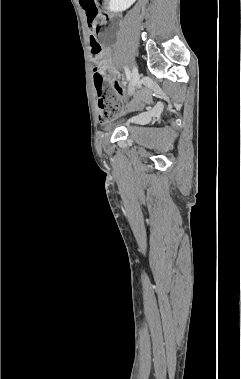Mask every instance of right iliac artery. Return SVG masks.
Here are the masks:
<instances>
[{"label": "right iliac artery", "instance_id": "1", "mask_svg": "<svg viewBox=\"0 0 241 379\" xmlns=\"http://www.w3.org/2000/svg\"><path fill=\"white\" fill-rule=\"evenodd\" d=\"M124 69H125V74H126L127 80L130 81V79H131V72H130V70H129L128 67H124Z\"/></svg>", "mask_w": 241, "mask_h": 379}]
</instances>
